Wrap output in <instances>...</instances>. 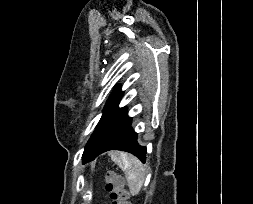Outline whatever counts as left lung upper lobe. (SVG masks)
Masks as SVG:
<instances>
[{"instance_id": "5c2ea615", "label": "left lung upper lobe", "mask_w": 253, "mask_h": 204, "mask_svg": "<svg viewBox=\"0 0 253 204\" xmlns=\"http://www.w3.org/2000/svg\"><path fill=\"white\" fill-rule=\"evenodd\" d=\"M123 92H121L120 87L116 88L112 95L110 96L109 100L107 101L104 111L111 109L115 105H117L122 98Z\"/></svg>"}]
</instances>
